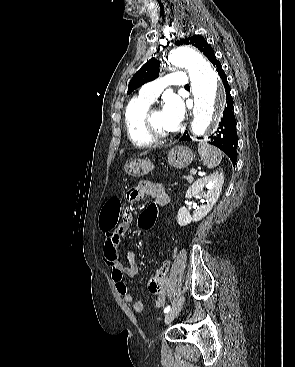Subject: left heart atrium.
Instances as JSON below:
<instances>
[{"mask_svg": "<svg viewBox=\"0 0 295 367\" xmlns=\"http://www.w3.org/2000/svg\"><path fill=\"white\" fill-rule=\"evenodd\" d=\"M163 119L170 131H175L181 125L185 107L183 101L176 94H169L164 99L162 108Z\"/></svg>", "mask_w": 295, "mask_h": 367, "instance_id": "obj_1", "label": "left heart atrium"}]
</instances>
